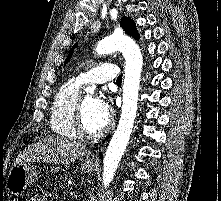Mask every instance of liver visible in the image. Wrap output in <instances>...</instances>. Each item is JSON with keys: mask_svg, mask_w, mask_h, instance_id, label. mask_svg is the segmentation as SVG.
I'll return each instance as SVG.
<instances>
[{"mask_svg": "<svg viewBox=\"0 0 221 201\" xmlns=\"http://www.w3.org/2000/svg\"><path fill=\"white\" fill-rule=\"evenodd\" d=\"M88 150L78 142L61 137H47L29 146L17 158V162L39 161L54 164L75 162L88 154Z\"/></svg>", "mask_w": 221, "mask_h": 201, "instance_id": "6515ba94", "label": "liver"}]
</instances>
